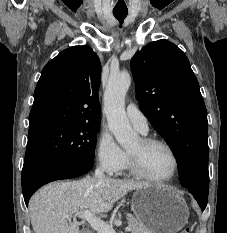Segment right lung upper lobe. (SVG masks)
Masks as SVG:
<instances>
[{
    "label": "right lung upper lobe",
    "instance_id": "right-lung-upper-lobe-1",
    "mask_svg": "<svg viewBox=\"0 0 227 233\" xmlns=\"http://www.w3.org/2000/svg\"><path fill=\"white\" fill-rule=\"evenodd\" d=\"M101 63L87 45L60 52L43 68L34 92L29 134L75 122H100Z\"/></svg>",
    "mask_w": 227,
    "mask_h": 233
}]
</instances>
